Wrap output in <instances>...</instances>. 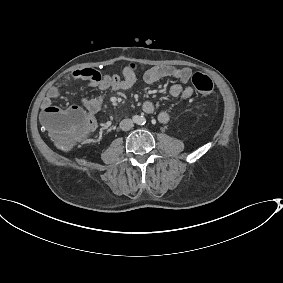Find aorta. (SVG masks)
I'll list each match as a JSON object with an SVG mask.
<instances>
[{"label": "aorta", "instance_id": "1", "mask_svg": "<svg viewBox=\"0 0 283 283\" xmlns=\"http://www.w3.org/2000/svg\"><path fill=\"white\" fill-rule=\"evenodd\" d=\"M134 122L138 125H143L145 123V118L143 116H136Z\"/></svg>", "mask_w": 283, "mask_h": 283}]
</instances>
